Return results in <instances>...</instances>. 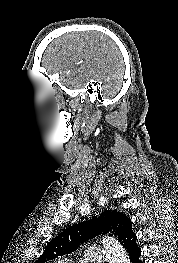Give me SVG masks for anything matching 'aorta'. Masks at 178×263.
I'll return each instance as SVG.
<instances>
[{"label": "aorta", "instance_id": "762f6f07", "mask_svg": "<svg viewBox=\"0 0 178 263\" xmlns=\"http://www.w3.org/2000/svg\"><path fill=\"white\" fill-rule=\"evenodd\" d=\"M102 245L108 259V263H130V259L123 246L112 237H104Z\"/></svg>", "mask_w": 178, "mask_h": 263}]
</instances>
